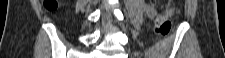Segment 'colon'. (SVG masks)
<instances>
[{
  "label": "colon",
  "instance_id": "obj_1",
  "mask_svg": "<svg viewBox=\"0 0 225 58\" xmlns=\"http://www.w3.org/2000/svg\"><path fill=\"white\" fill-rule=\"evenodd\" d=\"M57 8V3L55 1H46L45 9L48 12H54ZM176 13L174 10H170L167 13L158 16L156 20V32L160 36H166L171 29V17Z\"/></svg>",
  "mask_w": 225,
  "mask_h": 58
}]
</instances>
